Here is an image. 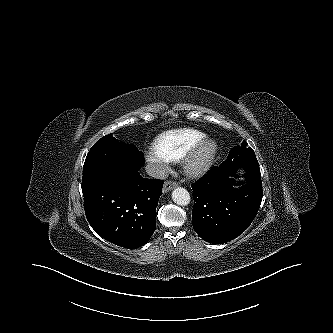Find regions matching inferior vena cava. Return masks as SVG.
<instances>
[{"mask_svg": "<svg viewBox=\"0 0 333 333\" xmlns=\"http://www.w3.org/2000/svg\"><path fill=\"white\" fill-rule=\"evenodd\" d=\"M145 169L147 174L155 179H165L168 176L167 170L157 164H148Z\"/></svg>", "mask_w": 333, "mask_h": 333, "instance_id": "obj_1", "label": "inferior vena cava"}]
</instances>
